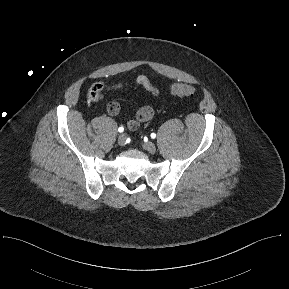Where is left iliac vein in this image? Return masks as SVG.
Returning <instances> with one entry per match:
<instances>
[{
  "mask_svg": "<svg viewBox=\"0 0 289 289\" xmlns=\"http://www.w3.org/2000/svg\"><path fill=\"white\" fill-rule=\"evenodd\" d=\"M143 146H144V149L151 154H154L156 152V146L152 142H147Z\"/></svg>",
  "mask_w": 289,
  "mask_h": 289,
  "instance_id": "4c4485c4",
  "label": "left iliac vein"
}]
</instances>
